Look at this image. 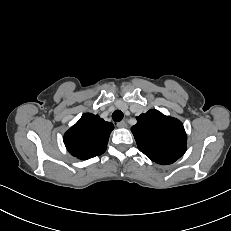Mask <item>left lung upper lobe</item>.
<instances>
[{"label":"left lung upper lobe","mask_w":231,"mask_h":231,"mask_svg":"<svg viewBox=\"0 0 231 231\" xmlns=\"http://www.w3.org/2000/svg\"><path fill=\"white\" fill-rule=\"evenodd\" d=\"M131 131L139 150L158 164H172L186 151L183 124L158 110L150 109L139 115Z\"/></svg>","instance_id":"1"}]
</instances>
